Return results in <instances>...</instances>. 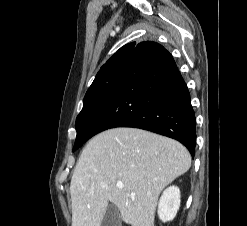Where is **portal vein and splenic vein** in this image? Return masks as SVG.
Returning a JSON list of instances; mask_svg holds the SVG:
<instances>
[{"mask_svg": "<svg viewBox=\"0 0 247 226\" xmlns=\"http://www.w3.org/2000/svg\"><path fill=\"white\" fill-rule=\"evenodd\" d=\"M117 187H118L119 189H123V188H124V185H123V183H117Z\"/></svg>", "mask_w": 247, "mask_h": 226, "instance_id": "obj_1", "label": "portal vein and splenic vein"}]
</instances>
